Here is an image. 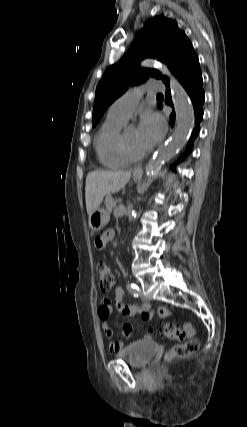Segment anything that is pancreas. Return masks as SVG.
Returning a JSON list of instances; mask_svg holds the SVG:
<instances>
[{"label": "pancreas", "mask_w": 247, "mask_h": 427, "mask_svg": "<svg viewBox=\"0 0 247 427\" xmlns=\"http://www.w3.org/2000/svg\"><path fill=\"white\" fill-rule=\"evenodd\" d=\"M105 204L108 212H111L113 208L116 206V201L112 198L111 195H107L105 199Z\"/></svg>", "instance_id": "obj_1"}]
</instances>
